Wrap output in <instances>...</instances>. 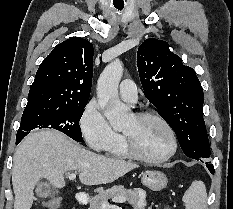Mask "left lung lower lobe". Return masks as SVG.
<instances>
[{
  "mask_svg": "<svg viewBox=\"0 0 233 209\" xmlns=\"http://www.w3.org/2000/svg\"><path fill=\"white\" fill-rule=\"evenodd\" d=\"M206 166H207V168L209 169V171H210L211 173H214V167H213L212 164H207Z\"/></svg>",
  "mask_w": 233,
  "mask_h": 209,
  "instance_id": "0a47b994",
  "label": "left lung lower lobe"
}]
</instances>
